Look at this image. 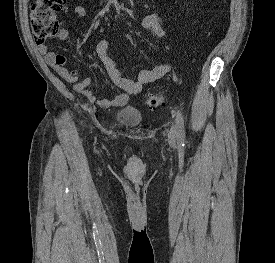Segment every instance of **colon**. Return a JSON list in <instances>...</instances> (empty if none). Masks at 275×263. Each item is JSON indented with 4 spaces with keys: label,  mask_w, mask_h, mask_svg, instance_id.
I'll use <instances>...</instances> for the list:
<instances>
[{
    "label": "colon",
    "mask_w": 275,
    "mask_h": 263,
    "mask_svg": "<svg viewBox=\"0 0 275 263\" xmlns=\"http://www.w3.org/2000/svg\"><path fill=\"white\" fill-rule=\"evenodd\" d=\"M67 0H34L31 6V32L36 44H44L58 34L60 29L56 15L62 10ZM143 104L149 108H158L165 104L160 94H147Z\"/></svg>",
    "instance_id": "5ec220e1"
}]
</instances>
